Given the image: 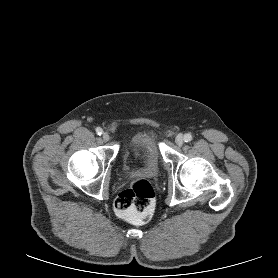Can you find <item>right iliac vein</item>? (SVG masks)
Wrapping results in <instances>:
<instances>
[{
	"label": "right iliac vein",
	"mask_w": 278,
	"mask_h": 278,
	"mask_svg": "<svg viewBox=\"0 0 278 278\" xmlns=\"http://www.w3.org/2000/svg\"><path fill=\"white\" fill-rule=\"evenodd\" d=\"M102 138H103V140H104L105 142H107V141L110 140V136H109V134H108L107 132H104V133L102 134Z\"/></svg>",
	"instance_id": "1"
}]
</instances>
